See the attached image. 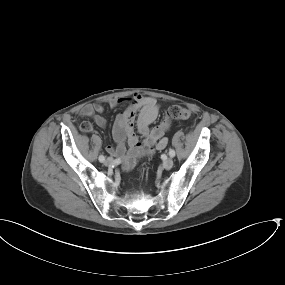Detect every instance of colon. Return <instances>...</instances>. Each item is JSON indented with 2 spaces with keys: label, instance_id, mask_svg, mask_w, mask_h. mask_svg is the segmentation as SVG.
Wrapping results in <instances>:
<instances>
[{
  "label": "colon",
  "instance_id": "colon-1",
  "mask_svg": "<svg viewBox=\"0 0 285 285\" xmlns=\"http://www.w3.org/2000/svg\"><path fill=\"white\" fill-rule=\"evenodd\" d=\"M167 114L172 119H187L190 116V111L186 107L174 105L168 109Z\"/></svg>",
  "mask_w": 285,
  "mask_h": 285
}]
</instances>
